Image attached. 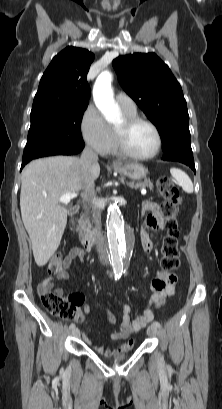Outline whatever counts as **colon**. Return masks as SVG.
Returning a JSON list of instances; mask_svg holds the SVG:
<instances>
[{
  "label": "colon",
  "instance_id": "colon-1",
  "mask_svg": "<svg viewBox=\"0 0 222 409\" xmlns=\"http://www.w3.org/2000/svg\"><path fill=\"white\" fill-rule=\"evenodd\" d=\"M157 187L164 202L161 205V215L167 228V234L161 248L160 264L166 271L177 269L180 265L178 249L179 229L177 214L182 202L181 194L169 177H161L157 181ZM64 257L61 253L54 254L48 264L50 273H59L65 268ZM43 307L52 315L63 318H75L78 311L72 300L58 291H44L40 293ZM162 307V304H155Z\"/></svg>",
  "mask_w": 222,
  "mask_h": 409
}]
</instances>
